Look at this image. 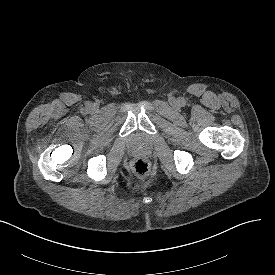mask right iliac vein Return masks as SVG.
I'll return each mask as SVG.
<instances>
[{
    "instance_id": "63e3f726",
    "label": "right iliac vein",
    "mask_w": 275,
    "mask_h": 275,
    "mask_svg": "<svg viewBox=\"0 0 275 275\" xmlns=\"http://www.w3.org/2000/svg\"><path fill=\"white\" fill-rule=\"evenodd\" d=\"M97 106L96 105H92V110H96Z\"/></svg>"
}]
</instances>
